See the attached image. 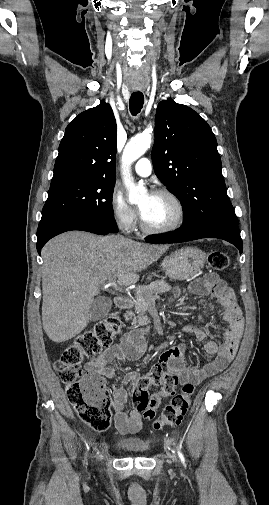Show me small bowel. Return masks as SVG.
<instances>
[{
    "instance_id": "c3829d8e",
    "label": "small bowel",
    "mask_w": 269,
    "mask_h": 505,
    "mask_svg": "<svg viewBox=\"0 0 269 505\" xmlns=\"http://www.w3.org/2000/svg\"><path fill=\"white\" fill-rule=\"evenodd\" d=\"M189 292L199 297L211 296L222 313L226 328L222 332L223 341H207L204 343V351L213 356V359L202 367L189 366L185 357V346L183 344L165 350L159 362L154 368H160L174 376L179 384L191 383L198 385L206 378L216 375L224 370L232 361L237 350L243 332V316L238 306L233 291L226 282L214 272H208L202 278L193 281L189 285ZM207 311L204 308L202 314L196 318L198 325L194 328L187 326L186 331L191 332L199 341H203L207 336V331L202 326ZM137 331L125 335L121 340L114 343L108 349L90 360L85 368L87 373L99 375L100 377L113 378L117 374L116 362L134 360L141 356L144 345L134 341ZM219 332L216 331V334ZM136 373H129L125 376L124 382L137 381ZM127 391L124 386H114L112 390V407L114 412V423L120 434H135L142 428V416L139 411L125 410Z\"/></svg>"
}]
</instances>
